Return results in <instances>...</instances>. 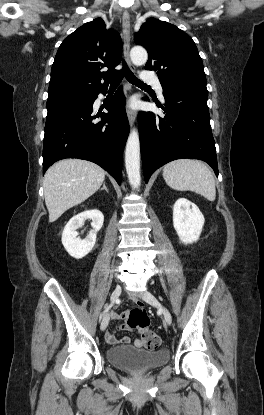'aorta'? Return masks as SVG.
<instances>
[{
  "mask_svg": "<svg viewBox=\"0 0 264 415\" xmlns=\"http://www.w3.org/2000/svg\"><path fill=\"white\" fill-rule=\"evenodd\" d=\"M130 57L134 64H144L148 59L147 51L140 46L133 47L130 51ZM125 166L128 180L131 186L136 189L140 186V143L139 135L136 129L130 131L126 149H125Z\"/></svg>",
  "mask_w": 264,
  "mask_h": 415,
  "instance_id": "obj_1",
  "label": "aorta"
}]
</instances>
